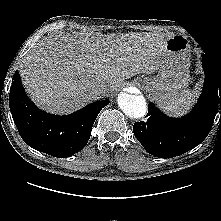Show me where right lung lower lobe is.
<instances>
[{
	"label": "right lung lower lobe",
	"mask_w": 221,
	"mask_h": 221,
	"mask_svg": "<svg viewBox=\"0 0 221 221\" xmlns=\"http://www.w3.org/2000/svg\"><path fill=\"white\" fill-rule=\"evenodd\" d=\"M108 103L95 102L71 115L48 114L27 97L18 72L13 76L9 95L12 117L25 143L59 158L70 157L86 146L96 117Z\"/></svg>",
	"instance_id": "98d812e1"
}]
</instances>
